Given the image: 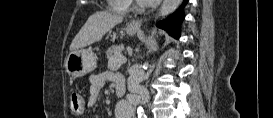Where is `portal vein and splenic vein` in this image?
<instances>
[{"mask_svg":"<svg viewBox=\"0 0 273 118\" xmlns=\"http://www.w3.org/2000/svg\"><path fill=\"white\" fill-rule=\"evenodd\" d=\"M112 60H118L120 64L126 62V58L124 56H122V55L116 56V57L112 58Z\"/></svg>","mask_w":273,"mask_h":118,"instance_id":"portal-vein-and-splenic-vein-1","label":"portal vein and splenic vein"}]
</instances>
